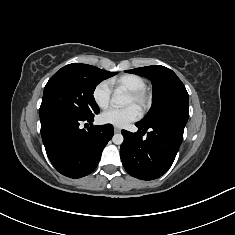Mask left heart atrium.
Listing matches in <instances>:
<instances>
[{
  "mask_svg": "<svg viewBox=\"0 0 235 235\" xmlns=\"http://www.w3.org/2000/svg\"><path fill=\"white\" fill-rule=\"evenodd\" d=\"M141 113L137 106L128 105L123 108H109L101 115V120L106 124L117 127H125L129 123L140 118Z\"/></svg>",
  "mask_w": 235,
  "mask_h": 235,
  "instance_id": "left-heart-atrium-1",
  "label": "left heart atrium"
}]
</instances>
